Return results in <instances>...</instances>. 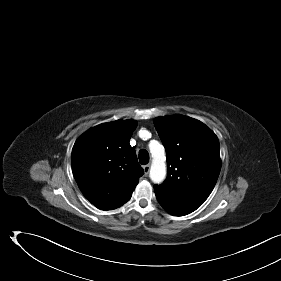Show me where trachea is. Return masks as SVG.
<instances>
[{
  "mask_svg": "<svg viewBox=\"0 0 281 281\" xmlns=\"http://www.w3.org/2000/svg\"><path fill=\"white\" fill-rule=\"evenodd\" d=\"M139 162L142 164V165H145L149 162V153L147 150H140L139 152Z\"/></svg>",
  "mask_w": 281,
  "mask_h": 281,
  "instance_id": "obj_1",
  "label": "trachea"
}]
</instances>
